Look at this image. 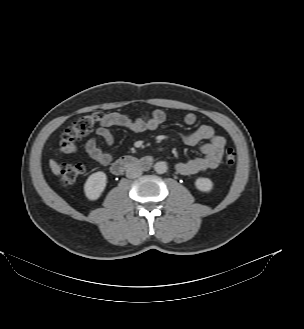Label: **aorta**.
Instances as JSON below:
<instances>
[{
	"label": "aorta",
	"instance_id": "aorta-1",
	"mask_svg": "<svg viewBox=\"0 0 304 329\" xmlns=\"http://www.w3.org/2000/svg\"><path fill=\"white\" fill-rule=\"evenodd\" d=\"M168 167L166 162L164 161H159L156 162L154 165V170L158 173V174H163L167 171Z\"/></svg>",
	"mask_w": 304,
	"mask_h": 329
}]
</instances>
